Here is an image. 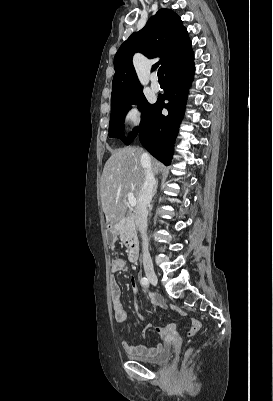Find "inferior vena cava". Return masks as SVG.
I'll use <instances>...</instances> for the list:
<instances>
[{"instance_id": "1", "label": "inferior vena cava", "mask_w": 273, "mask_h": 401, "mask_svg": "<svg viewBox=\"0 0 273 401\" xmlns=\"http://www.w3.org/2000/svg\"><path fill=\"white\" fill-rule=\"evenodd\" d=\"M141 158L146 168L144 170L145 178L143 186L140 190L139 201L136 207L135 223L142 237L143 259H150V253L148 251V239H147V217H148L147 207L148 205H150L152 201L155 178L149 154H147V152H144Z\"/></svg>"}]
</instances>
